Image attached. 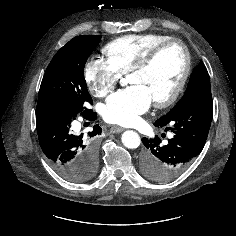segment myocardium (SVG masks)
I'll return each instance as SVG.
<instances>
[{
  "mask_svg": "<svg viewBox=\"0 0 236 236\" xmlns=\"http://www.w3.org/2000/svg\"><path fill=\"white\" fill-rule=\"evenodd\" d=\"M172 44H177L181 47L183 54H184V68H183L182 74H181L176 86L172 90V92L167 97H165L161 100L154 101V106L156 108H167V107L171 106L178 99V97L182 93V91L187 83V80L189 78L190 71H191V56H190V52L188 50L187 45L179 38H170L165 41H162V42L158 43L157 45H155L154 47H152L146 53V55L140 61H138L132 67V69L129 71V75H131V74L139 73V72H142V71L148 69L153 64L156 57L167 46L172 45Z\"/></svg>",
  "mask_w": 236,
  "mask_h": 236,
  "instance_id": "obj_1",
  "label": "myocardium"
}]
</instances>
